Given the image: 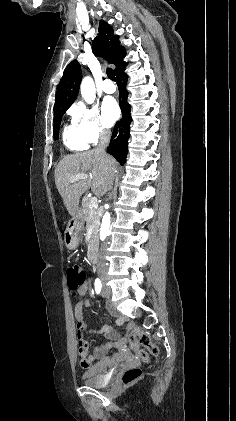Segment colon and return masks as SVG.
<instances>
[{"label": "colon", "mask_w": 236, "mask_h": 421, "mask_svg": "<svg viewBox=\"0 0 236 421\" xmlns=\"http://www.w3.org/2000/svg\"><path fill=\"white\" fill-rule=\"evenodd\" d=\"M87 272L80 265H72L67 271L68 286L74 294H79L80 290L84 287L86 282ZM129 343L134 352L143 361H148L151 356H157L159 349L155 346L150 336L140 328H134L129 338ZM80 353L82 350V342L79 341ZM141 370L139 368H130L122 375V383L130 385L139 379Z\"/></svg>", "instance_id": "5ec220e1"}]
</instances>
